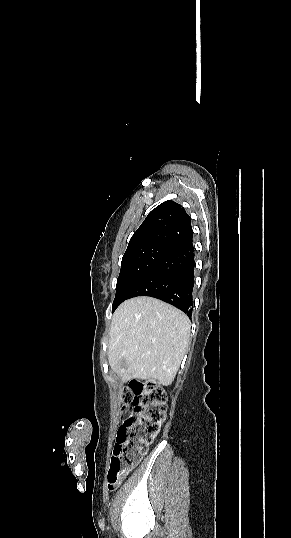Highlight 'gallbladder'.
<instances>
[{"instance_id":"obj_1","label":"gallbladder","mask_w":291,"mask_h":538,"mask_svg":"<svg viewBox=\"0 0 291 538\" xmlns=\"http://www.w3.org/2000/svg\"><path fill=\"white\" fill-rule=\"evenodd\" d=\"M121 363H122V364H121V365H122V367H125V363H124V361H123V360H122V362H121Z\"/></svg>"}]
</instances>
